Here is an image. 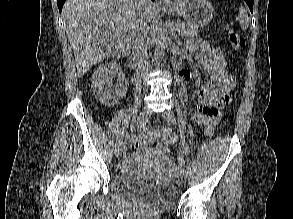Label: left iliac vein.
<instances>
[{"label": "left iliac vein", "mask_w": 293, "mask_h": 219, "mask_svg": "<svg viewBox=\"0 0 293 219\" xmlns=\"http://www.w3.org/2000/svg\"><path fill=\"white\" fill-rule=\"evenodd\" d=\"M162 116L164 119H166V121L175 126L176 125V119H175V116L174 114L172 113L171 110H166L162 113ZM181 173H182V176L185 178L187 176V168L184 164H181Z\"/></svg>", "instance_id": "obj_1"}]
</instances>
